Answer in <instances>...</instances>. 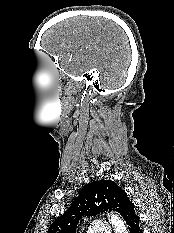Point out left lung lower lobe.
<instances>
[{"instance_id":"left-lung-lower-lobe-1","label":"left lung lower lobe","mask_w":174,"mask_h":233,"mask_svg":"<svg viewBox=\"0 0 174 233\" xmlns=\"http://www.w3.org/2000/svg\"><path fill=\"white\" fill-rule=\"evenodd\" d=\"M125 222L128 226L129 233H143L140 228V218L137 216L135 211L127 216Z\"/></svg>"}]
</instances>
